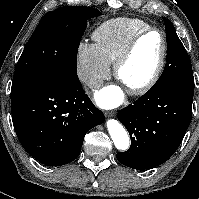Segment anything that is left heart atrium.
<instances>
[{
  "label": "left heart atrium",
  "instance_id": "1",
  "mask_svg": "<svg viewBox=\"0 0 199 199\" xmlns=\"http://www.w3.org/2000/svg\"><path fill=\"white\" fill-rule=\"evenodd\" d=\"M123 99V91L119 86L116 85L106 86L95 95L97 104L105 109L117 107L122 103Z\"/></svg>",
  "mask_w": 199,
  "mask_h": 199
}]
</instances>
